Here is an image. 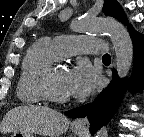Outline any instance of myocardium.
<instances>
[{"label": "myocardium", "mask_w": 144, "mask_h": 137, "mask_svg": "<svg viewBox=\"0 0 144 137\" xmlns=\"http://www.w3.org/2000/svg\"><path fill=\"white\" fill-rule=\"evenodd\" d=\"M57 67L56 64H52L44 71L41 78V89L46 100L65 104L71 101L70 97L60 94L54 86V73Z\"/></svg>", "instance_id": "obj_1"}]
</instances>
